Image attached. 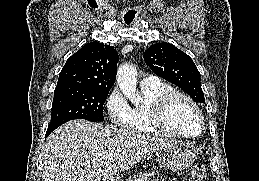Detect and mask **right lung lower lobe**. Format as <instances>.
<instances>
[{"mask_svg": "<svg viewBox=\"0 0 259 181\" xmlns=\"http://www.w3.org/2000/svg\"><path fill=\"white\" fill-rule=\"evenodd\" d=\"M49 134H50V133H49V132H47V133H46V137H47Z\"/></svg>", "mask_w": 259, "mask_h": 181, "instance_id": "obj_1", "label": "right lung lower lobe"}]
</instances>
